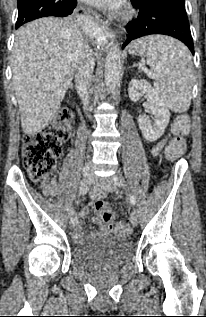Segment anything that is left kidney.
Wrapping results in <instances>:
<instances>
[{
    "instance_id": "1",
    "label": "left kidney",
    "mask_w": 206,
    "mask_h": 317,
    "mask_svg": "<svg viewBox=\"0 0 206 317\" xmlns=\"http://www.w3.org/2000/svg\"><path fill=\"white\" fill-rule=\"evenodd\" d=\"M128 93L130 99L134 102L144 95L147 98L148 111L155 116L154 124H149L146 115H139L137 119L138 125L147 141L154 142L158 140L170 120L168 107L146 80L132 79L129 83Z\"/></svg>"
}]
</instances>
